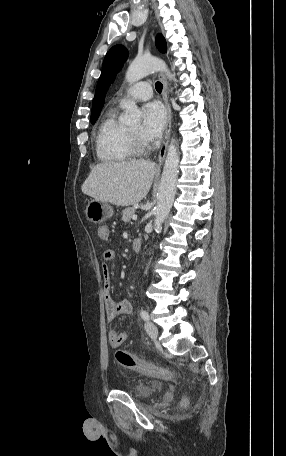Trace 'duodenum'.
<instances>
[{"instance_id": "410a0bca", "label": "duodenum", "mask_w": 286, "mask_h": 456, "mask_svg": "<svg viewBox=\"0 0 286 456\" xmlns=\"http://www.w3.org/2000/svg\"><path fill=\"white\" fill-rule=\"evenodd\" d=\"M142 241L139 238H135L132 241V250L134 252H139L141 250Z\"/></svg>"}]
</instances>
